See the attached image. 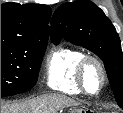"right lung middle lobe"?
<instances>
[{"label":"right lung middle lobe","instance_id":"1","mask_svg":"<svg viewBox=\"0 0 123 113\" xmlns=\"http://www.w3.org/2000/svg\"><path fill=\"white\" fill-rule=\"evenodd\" d=\"M47 42H1V97L30 90L36 84Z\"/></svg>","mask_w":123,"mask_h":113}]
</instances>
